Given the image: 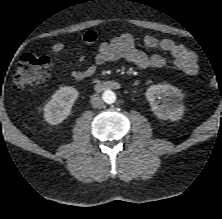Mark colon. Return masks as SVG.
Returning a JSON list of instances; mask_svg holds the SVG:
<instances>
[{"label": "colon", "mask_w": 222, "mask_h": 219, "mask_svg": "<svg viewBox=\"0 0 222 219\" xmlns=\"http://www.w3.org/2000/svg\"><path fill=\"white\" fill-rule=\"evenodd\" d=\"M50 74V58L33 51H27L20 57L17 63L12 77V86L16 90H23L47 81ZM210 83L212 86H215L216 79L212 77Z\"/></svg>", "instance_id": "obj_1"}]
</instances>
